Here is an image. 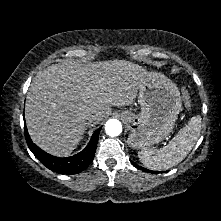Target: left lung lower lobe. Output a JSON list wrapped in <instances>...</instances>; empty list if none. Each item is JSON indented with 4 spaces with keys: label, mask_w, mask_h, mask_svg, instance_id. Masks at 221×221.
I'll list each match as a JSON object with an SVG mask.
<instances>
[{
    "label": "left lung lower lobe",
    "mask_w": 221,
    "mask_h": 221,
    "mask_svg": "<svg viewBox=\"0 0 221 221\" xmlns=\"http://www.w3.org/2000/svg\"><path fill=\"white\" fill-rule=\"evenodd\" d=\"M131 163H132L135 167H137V168H139V169H141V170H143V171H146V172H148V173H152V174H157V173H159V172H155V171H151V170H147V169H145V168H142L141 166L135 164V163L132 162V161H131Z\"/></svg>",
    "instance_id": "obj_1"
}]
</instances>
